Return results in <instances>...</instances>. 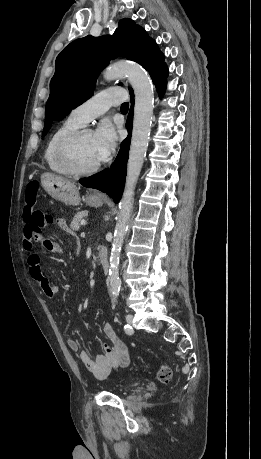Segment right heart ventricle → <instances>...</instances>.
Here are the masks:
<instances>
[{"label":"right heart ventricle","mask_w":261,"mask_h":459,"mask_svg":"<svg viewBox=\"0 0 261 459\" xmlns=\"http://www.w3.org/2000/svg\"><path fill=\"white\" fill-rule=\"evenodd\" d=\"M82 126V124L76 122L71 117H68L52 131L44 150V160L51 171L68 175V173L58 163L57 148L64 136Z\"/></svg>","instance_id":"right-heart-ventricle-1"}]
</instances>
